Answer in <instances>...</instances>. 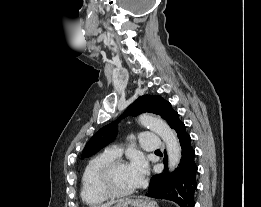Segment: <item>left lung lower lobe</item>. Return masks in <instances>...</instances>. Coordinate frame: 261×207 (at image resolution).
Segmentation results:
<instances>
[{
    "label": "left lung lower lobe",
    "instance_id": "obj_1",
    "mask_svg": "<svg viewBox=\"0 0 261 207\" xmlns=\"http://www.w3.org/2000/svg\"><path fill=\"white\" fill-rule=\"evenodd\" d=\"M174 130L179 138L182 151L179 167L169 174L166 166L164 173L154 175L150 180L146 196L174 201L180 207H194V193L197 187L195 151L182 121L177 123ZM163 162L167 165L166 157Z\"/></svg>",
    "mask_w": 261,
    "mask_h": 207
}]
</instances>
